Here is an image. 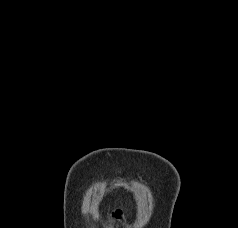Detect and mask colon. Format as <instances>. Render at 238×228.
<instances>
[{"label":"colon","mask_w":238,"mask_h":228,"mask_svg":"<svg viewBox=\"0 0 238 228\" xmlns=\"http://www.w3.org/2000/svg\"><path fill=\"white\" fill-rule=\"evenodd\" d=\"M113 217H114L115 219H120V218H121V211H115V212L113 213Z\"/></svg>","instance_id":"5ec220e1"}]
</instances>
